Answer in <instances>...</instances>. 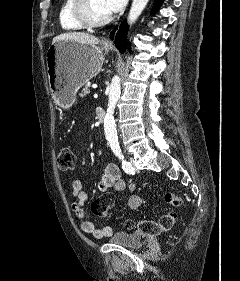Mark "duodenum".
Segmentation results:
<instances>
[{
	"instance_id": "1",
	"label": "duodenum",
	"mask_w": 240,
	"mask_h": 281,
	"mask_svg": "<svg viewBox=\"0 0 240 281\" xmlns=\"http://www.w3.org/2000/svg\"><path fill=\"white\" fill-rule=\"evenodd\" d=\"M95 113H96L97 119H98L101 123H103L104 120H105V117H106L105 111H104L103 109L99 108V109H96V112H95Z\"/></svg>"
}]
</instances>
